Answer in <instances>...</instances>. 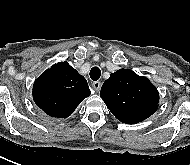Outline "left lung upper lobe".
<instances>
[{"label":"left lung upper lobe","mask_w":190,"mask_h":165,"mask_svg":"<svg viewBox=\"0 0 190 165\" xmlns=\"http://www.w3.org/2000/svg\"><path fill=\"white\" fill-rule=\"evenodd\" d=\"M100 97L121 122L135 124L156 112L159 103L157 88L130 69H120L102 85Z\"/></svg>","instance_id":"1"}]
</instances>
